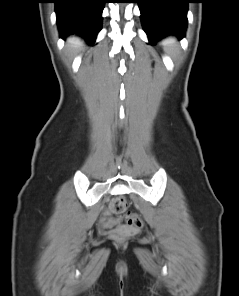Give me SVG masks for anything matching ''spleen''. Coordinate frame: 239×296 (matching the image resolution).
Wrapping results in <instances>:
<instances>
[{
    "label": "spleen",
    "mask_w": 239,
    "mask_h": 296,
    "mask_svg": "<svg viewBox=\"0 0 239 296\" xmlns=\"http://www.w3.org/2000/svg\"><path fill=\"white\" fill-rule=\"evenodd\" d=\"M165 50L167 53L171 54L176 48V42L174 38H168L164 41Z\"/></svg>",
    "instance_id": "3e777b00"
}]
</instances>
